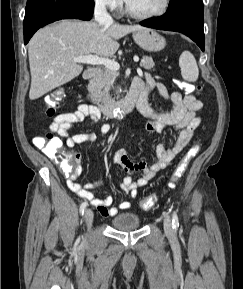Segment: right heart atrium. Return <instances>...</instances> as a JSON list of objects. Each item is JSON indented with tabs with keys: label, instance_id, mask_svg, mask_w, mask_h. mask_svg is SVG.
Returning <instances> with one entry per match:
<instances>
[{
	"label": "right heart atrium",
	"instance_id": "1",
	"mask_svg": "<svg viewBox=\"0 0 243 289\" xmlns=\"http://www.w3.org/2000/svg\"><path fill=\"white\" fill-rule=\"evenodd\" d=\"M96 4L110 11H118L121 8V0H95Z\"/></svg>",
	"mask_w": 243,
	"mask_h": 289
}]
</instances>
